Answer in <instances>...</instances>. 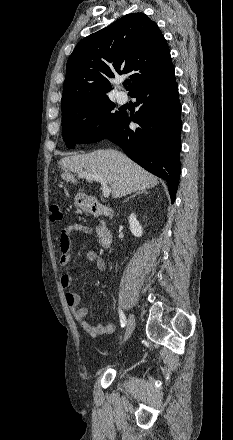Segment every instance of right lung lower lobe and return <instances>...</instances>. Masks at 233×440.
Returning <instances> with one entry per match:
<instances>
[{
	"label": "right lung lower lobe",
	"instance_id": "right-lung-lower-lobe-1",
	"mask_svg": "<svg viewBox=\"0 0 233 440\" xmlns=\"http://www.w3.org/2000/svg\"><path fill=\"white\" fill-rule=\"evenodd\" d=\"M140 105L135 116L124 114L106 137L147 171L165 179L172 203L180 176L181 105L174 66L137 88L131 95ZM138 127L130 129V122Z\"/></svg>",
	"mask_w": 233,
	"mask_h": 440
}]
</instances>
